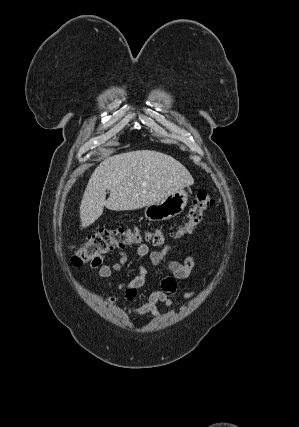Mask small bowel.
Returning <instances> with one entry per match:
<instances>
[{
    "instance_id": "c3829d8e",
    "label": "small bowel",
    "mask_w": 299,
    "mask_h": 427,
    "mask_svg": "<svg viewBox=\"0 0 299 427\" xmlns=\"http://www.w3.org/2000/svg\"><path fill=\"white\" fill-rule=\"evenodd\" d=\"M170 247L168 245L163 246L160 250H150L148 245L140 243L137 246L136 252L138 256H148L154 267H160L166 265L170 271V275L166 277H155L158 282L159 289L149 294L146 302L137 308L130 310L131 313L137 316H162L163 313L158 310L157 304L164 303L167 306H172L173 301L171 297L177 290V281L188 279L197 266V260L193 256H188L182 261L172 260L169 258ZM127 257L125 254L121 255L119 262L114 264H102L98 262L93 266L97 269L98 277L101 279L109 278L114 272L119 271L121 267L126 263ZM148 271L144 267H140L138 274L126 283H120L117 288L120 290V294L111 296L109 302L115 304L120 299H124L128 302L136 300L138 290L145 284ZM195 295L194 291H187L184 293L183 298L188 300L193 298Z\"/></svg>"
}]
</instances>
